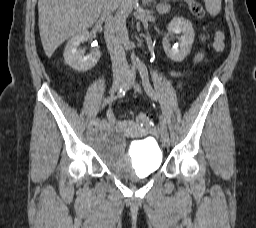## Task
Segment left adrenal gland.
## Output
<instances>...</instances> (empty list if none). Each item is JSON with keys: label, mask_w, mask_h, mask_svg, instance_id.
I'll return each instance as SVG.
<instances>
[{"label": "left adrenal gland", "mask_w": 256, "mask_h": 228, "mask_svg": "<svg viewBox=\"0 0 256 228\" xmlns=\"http://www.w3.org/2000/svg\"><path fill=\"white\" fill-rule=\"evenodd\" d=\"M143 3H144L145 5H148L149 3L155 4V1H154V0H143Z\"/></svg>", "instance_id": "obj_1"}]
</instances>
